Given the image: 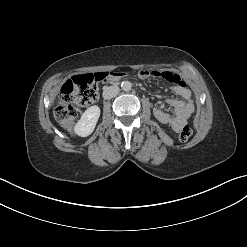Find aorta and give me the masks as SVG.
<instances>
[{"mask_svg":"<svg viewBox=\"0 0 247 247\" xmlns=\"http://www.w3.org/2000/svg\"><path fill=\"white\" fill-rule=\"evenodd\" d=\"M121 88H122V90H124V91H130L131 88H132V83L129 82V81H123V82L121 83Z\"/></svg>","mask_w":247,"mask_h":247,"instance_id":"aorta-1","label":"aorta"}]
</instances>
